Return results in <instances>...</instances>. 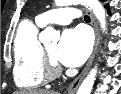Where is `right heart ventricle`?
Instances as JSON below:
<instances>
[{
  "label": "right heart ventricle",
  "instance_id": "e07e8e85",
  "mask_svg": "<svg viewBox=\"0 0 121 94\" xmlns=\"http://www.w3.org/2000/svg\"><path fill=\"white\" fill-rule=\"evenodd\" d=\"M40 22L23 21L14 40L15 84L23 89L40 87L45 77L42 70V44L38 38Z\"/></svg>",
  "mask_w": 121,
  "mask_h": 94
}]
</instances>
